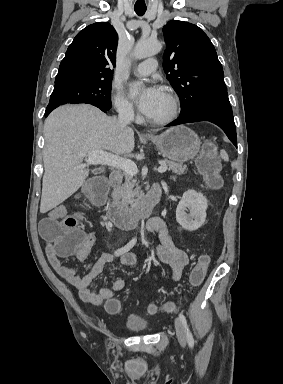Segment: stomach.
<instances>
[{"mask_svg": "<svg viewBox=\"0 0 283 384\" xmlns=\"http://www.w3.org/2000/svg\"><path fill=\"white\" fill-rule=\"evenodd\" d=\"M150 142H153L157 146L159 152L168 158L170 162H188L197 156L200 150L199 136L186 128V126H175V128H169L160 136H153V138H147Z\"/></svg>", "mask_w": 283, "mask_h": 384, "instance_id": "1", "label": "stomach"}]
</instances>
